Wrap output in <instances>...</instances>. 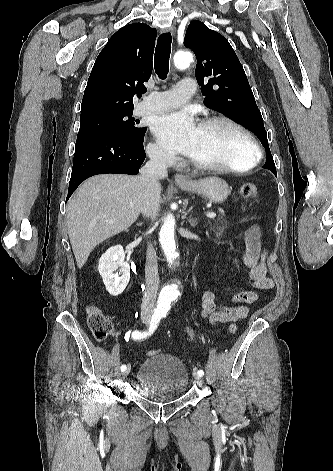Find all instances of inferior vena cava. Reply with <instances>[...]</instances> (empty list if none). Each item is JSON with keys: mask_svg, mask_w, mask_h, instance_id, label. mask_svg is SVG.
Wrapping results in <instances>:
<instances>
[{"mask_svg": "<svg viewBox=\"0 0 333 471\" xmlns=\"http://www.w3.org/2000/svg\"><path fill=\"white\" fill-rule=\"evenodd\" d=\"M167 157L160 150L150 154V160L140 170V180L143 186L141 198V212L144 216L154 220L160 209V195L158 192L159 179L167 177ZM146 289L142 299V313L152 314L159 286L158 263L156 252L152 245H148L145 265Z\"/></svg>", "mask_w": 333, "mask_h": 471, "instance_id": "obj_1", "label": "inferior vena cava"}]
</instances>
